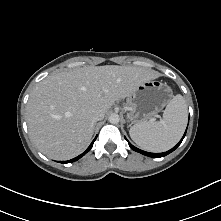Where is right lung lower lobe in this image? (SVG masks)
<instances>
[{
	"label": "right lung lower lobe",
	"mask_w": 221,
	"mask_h": 221,
	"mask_svg": "<svg viewBox=\"0 0 221 221\" xmlns=\"http://www.w3.org/2000/svg\"><path fill=\"white\" fill-rule=\"evenodd\" d=\"M95 139H96V137H95ZM95 139L92 141V143L90 144V146L87 148V150H86L85 152H83V153L80 154L79 156H77V157H75V158H73V159H71V160H69V161H61V163H63V164H65V163H72V162L77 161L78 159H80V158H81L82 156H84L88 151H90V149H91L92 146H93V143H94Z\"/></svg>",
	"instance_id": "98d812e1"
}]
</instances>
